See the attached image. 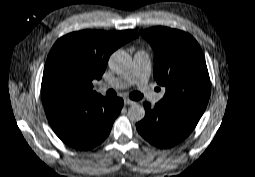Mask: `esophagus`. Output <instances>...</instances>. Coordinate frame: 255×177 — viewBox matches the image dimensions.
Instances as JSON below:
<instances>
[{
  "label": "esophagus",
  "mask_w": 255,
  "mask_h": 177,
  "mask_svg": "<svg viewBox=\"0 0 255 177\" xmlns=\"http://www.w3.org/2000/svg\"><path fill=\"white\" fill-rule=\"evenodd\" d=\"M124 102H125L126 105L136 103L135 101H133V100H131V99H129V98H125V99H124Z\"/></svg>",
  "instance_id": "obj_1"
}]
</instances>
